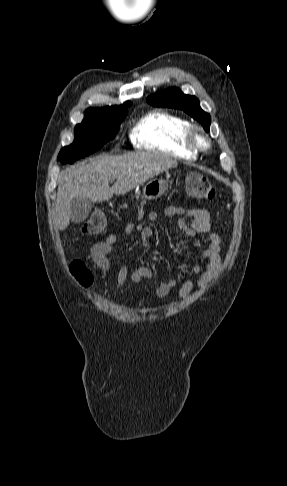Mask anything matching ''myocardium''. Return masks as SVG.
Returning <instances> with one entry per match:
<instances>
[{
	"instance_id": "obj_1",
	"label": "myocardium",
	"mask_w": 287,
	"mask_h": 486,
	"mask_svg": "<svg viewBox=\"0 0 287 486\" xmlns=\"http://www.w3.org/2000/svg\"><path fill=\"white\" fill-rule=\"evenodd\" d=\"M186 140L188 145L194 151H205L210 147V140L204 133L201 127L197 125H190L186 132Z\"/></svg>"
}]
</instances>
